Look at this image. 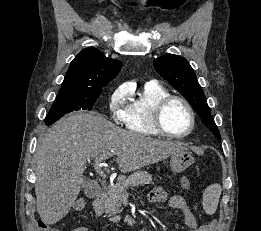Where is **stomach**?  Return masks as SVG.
<instances>
[{"label":"stomach","mask_w":261,"mask_h":231,"mask_svg":"<svg viewBox=\"0 0 261 231\" xmlns=\"http://www.w3.org/2000/svg\"><path fill=\"white\" fill-rule=\"evenodd\" d=\"M194 163L192 153L188 150L176 152L170 157V167L173 172L179 173L187 169Z\"/></svg>","instance_id":"stomach-1"}]
</instances>
